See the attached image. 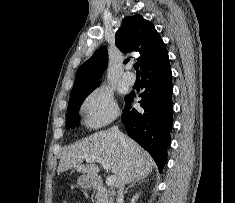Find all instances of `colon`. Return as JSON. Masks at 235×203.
<instances>
[{"mask_svg": "<svg viewBox=\"0 0 235 203\" xmlns=\"http://www.w3.org/2000/svg\"><path fill=\"white\" fill-rule=\"evenodd\" d=\"M63 203H68L67 201H64Z\"/></svg>", "mask_w": 235, "mask_h": 203, "instance_id": "colon-1", "label": "colon"}]
</instances>
